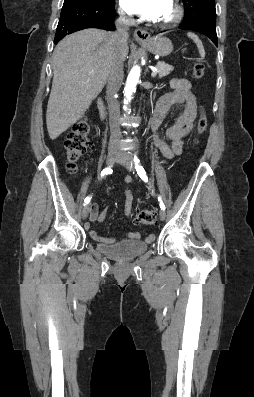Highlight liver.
<instances>
[{
    "instance_id": "liver-1",
    "label": "liver",
    "mask_w": 254,
    "mask_h": 397,
    "mask_svg": "<svg viewBox=\"0 0 254 397\" xmlns=\"http://www.w3.org/2000/svg\"><path fill=\"white\" fill-rule=\"evenodd\" d=\"M112 33L85 29L62 39L53 53V82L47 105L50 138H58L76 123L102 91L112 58ZM128 44L121 47L122 61Z\"/></svg>"
}]
</instances>
